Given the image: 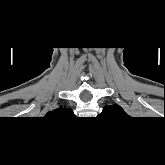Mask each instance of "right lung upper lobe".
<instances>
[{"label":"right lung upper lobe","mask_w":165,"mask_h":165,"mask_svg":"<svg viewBox=\"0 0 165 165\" xmlns=\"http://www.w3.org/2000/svg\"><path fill=\"white\" fill-rule=\"evenodd\" d=\"M73 111L70 108L64 107V106H60L59 108L50 111L46 114L45 117H52V118H67L69 116H72Z\"/></svg>","instance_id":"right-lung-upper-lobe-1"}]
</instances>
